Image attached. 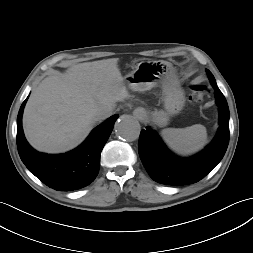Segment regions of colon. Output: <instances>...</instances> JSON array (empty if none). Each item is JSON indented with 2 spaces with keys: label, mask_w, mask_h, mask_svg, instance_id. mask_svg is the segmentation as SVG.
Wrapping results in <instances>:
<instances>
[{
  "label": "colon",
  "mask_w": 253,
  "mask_h": 253,
  "mask_svg": "<svg viewBox=\"0 0 253 253\" xmlns=\"http://www.w3.org/2000/svg\"><path fill=\"white\" fill-rule=\"evenodd\" d=\"M192 99L196 103H200L207 92V89L204 85L198 84L192 87Z\"/></svg>",
  "instance_id": "5ec220e1"
}]
</instances>
